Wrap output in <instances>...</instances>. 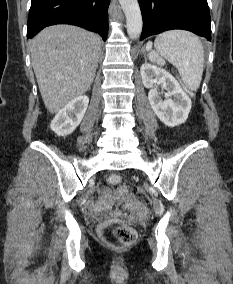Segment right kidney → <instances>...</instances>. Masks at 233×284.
I'll return each mask as SVG.
<instances>
[{"label":"right kidney","mask_w":233,"mask_h":284,"mask_svg":"<svg viewBox=\"0 0 233 284\" xmlns=\"http://www.w3.org/2000/svg\"><path fill=\"white\" fill-rule=\"evenodd\" d=\"M89 98L80 95L61 109L51 122V129L58 136L71 134L82 121L88 107Z\"/></svg>","instance_id":"ca27d5eb"}]
</instances>
